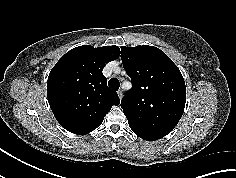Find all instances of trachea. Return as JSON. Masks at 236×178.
<instances>
[{"instance_id": "1", "label": "trachea", "mask_w": 236, "mask_h": 178, "mask_svg": "<svg viewBox=\"0 0 236 178\" xmlns=\"http://www.w3.org/2000/svg\"><path fill=\"white\" fill-rule=\"evenodd\" d=\"M108 86L113 90H118L120 87L119 80L112 78L108 81Z\"/></svg>"}]
</instances>
